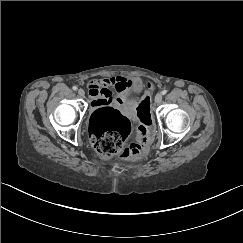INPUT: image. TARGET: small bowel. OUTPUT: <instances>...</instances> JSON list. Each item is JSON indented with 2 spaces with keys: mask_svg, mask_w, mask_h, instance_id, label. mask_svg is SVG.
Listing matches in <instances>:
<instances>
[{
  "mask_svg": "<svg viewBox=\"0 0 243 243\" xmlns=\"http://www.w3.org/2000/svg\"><path fill=\"white\" fill-rule=\"evenodd\" d=\"M131 80L122 76L93 80L88 84L91 105L94 108L115 105L127 114H131L128 103L131 101L130 94ZM151 87V84H149ZM111 88H114L117 95L113 97Z\"/></svg>",
  "mask_w": 243,
  "mask_h": 243,
  "instance_id": "small-bowel-1",
  "label": "small bowel"
}]
</instances>
